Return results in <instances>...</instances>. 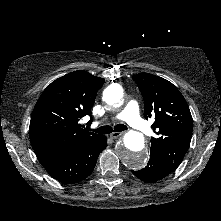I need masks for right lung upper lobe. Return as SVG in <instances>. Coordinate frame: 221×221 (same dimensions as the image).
I'll return each instance as SVG.
<instances>
[{
  "label": "right lung upper lobe",
  "mask_w": 221,
  "mask_h": 221,
  "mask_svg": "<svg viewBox=\"0 0 221 221\" xmlns=\"http://www.w3.org/2000/svg\"><path fill=\"white\" fill-rule=\"evenodd\" d=\"M104 82L78 70L56 79L43 91L29 127L30 142L37 155L73 148L100 136L83 130L79 120L86 115L92 118L91 108Z\"/></svg>",
  "instance_id": "right-lung-upper-lobe-1"
}]
</instances>
